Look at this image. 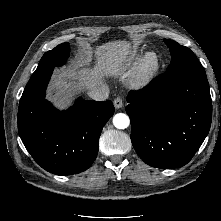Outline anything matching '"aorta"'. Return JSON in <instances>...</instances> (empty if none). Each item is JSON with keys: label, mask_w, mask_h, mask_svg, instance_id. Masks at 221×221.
I'll use <instances>...</instances> for the list:
<instances>
[{"label": "aorta", "mask_w": 221, "mask_h": 221, "mask_svg": "<svg viewBox=\"0 0 221 221\" xmlns=\"http://www.w3.org/2000/svg\"><path fill=\"white\" fill-rule=\"evenodd\" d=\"M113 124L118 129H125L130 124L129 117L124 113H118L113 117Z\"/></svg>", "instance_id": "762f6f07"}]
</instances>
